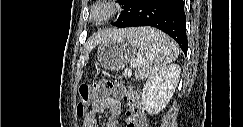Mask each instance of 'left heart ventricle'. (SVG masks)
I'll list each match as a JSON object with an SVG mask.
<instances>
[{"label":"left heart ventricle","mask_w":243,"mask_h":127,"mask_svg":"<svg viewBox=\"0 0 243 127\" xmlns=\"http://www.w3.org/2000/svg\"><path fill=\"white\" fill-rule=\"evenodd\" d=\"M103 15H104L103 11H101V10H99V9H97V10H95V11L93 12V16H94V18H100V17H102Z\"/></svg>","instance_id":"b2bd125f"}]
</instances>
